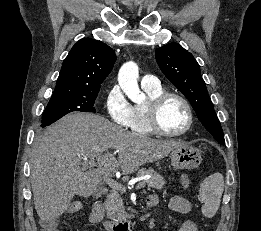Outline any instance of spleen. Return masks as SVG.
Listing matches in <instances>:
<instances>
[{
    "label": "spleen",
    "instance_id": "spleen-1",
    "mask_svg": "<svg viewBox=\"0 0 261 231\" xmlns=\"http://www.w3.org/2000/svg\"><path fill=\"white\" fill-rule=\"evenodd\" d=\"M224 190V179L221 173H214L200 184L199 197L203 202L202 213L205 217H213L221 202Z\"/></svg>",
    "mask_w": 261,
    "mask_h": 231
}]
</instances>
